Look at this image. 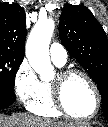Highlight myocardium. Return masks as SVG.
I'll return each mask as SVG.
<instances>
[{"label": "myocardium", "instance_id": "myocardium-1", "mask_svg": "<svg viewBox=\"0 0 108 127\" xmlns=\"http://www.w3.org/2000/svg\"><path fill=\"white\" fill-rule=\"evenodd\" d=\"M74 75L82 76L89 83V85L91 86L94 92L95 99H96L95 108L94 111L88 116H78L73 114L72 112L69 111V109L65 104L64 87L66 82L69 80V78ZM51 86H52L54 104L62 114L70 118L76 120H82V121L90 120L98 114L101 107V95L97 84L95 83L93 78L85 71L77 68L62 69L61 71L58 72L55 79L52 81Z\"/></svg>", "mask_w": 108, "mask_h": 127}]
</instances>
